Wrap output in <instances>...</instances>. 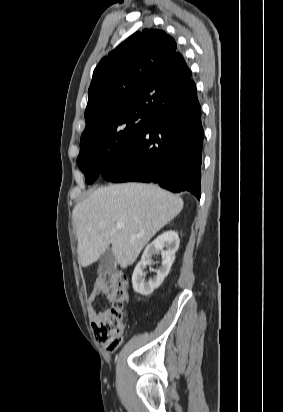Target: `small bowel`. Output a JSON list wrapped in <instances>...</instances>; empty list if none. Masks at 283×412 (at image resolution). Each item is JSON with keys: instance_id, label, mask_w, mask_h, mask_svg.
Here are the masks:
<instances>
[{"instance_id": "c3829d8e", "label": "small bowel", "mask_w": 283, "mask_h": 412, "mask_svg": "<svg viewBox=\"0 0 283 412\" xmlns=\"http://www.w3.org/2000/svg\"><path fill=\"white\" fill-rule=\"evenodd\" d=\"M107 294L106 284L102 280H96L94 287L87 297L88 302V315L91 321H96L98 318L102 317L106 311H97L95 308V302L97 298L101 295Z\"/></svg>"}]
</instances>
